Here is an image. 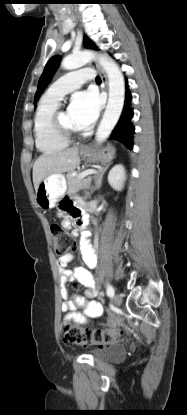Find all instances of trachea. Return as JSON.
<instances>
[{"instance_id":"obj_1","label":"trachea","mask_w":187,"mask_h":415,"mask_svg":"<svg viewBox=\"0 0 187 415\" xmlns=\"http://www.w3.org/2000/svg\"><path fill=\"white\" fill-rule=\"evenodd\" d=\"M96 82H101V79L99 76L96 77Z\"/></svg>"}]
</instances>
